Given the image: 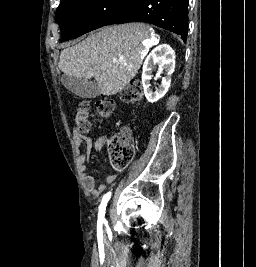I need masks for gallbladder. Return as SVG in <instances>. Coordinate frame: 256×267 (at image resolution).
<instances>
[{
	"instance_id": "1",
	"label": "gallbladder",
	"mask_w": 256,
	"mask_h": 267,
	"mask_svg": "<svg viewBox=\"0 0 256 267\" xmlns=\"http://www.w3.org/2000/svg\"><path fill=\"white\" fill-rule=\"evenodd\" d=\"M60 82L69 92L79 96V98H97L101 94L95 82H88V80H82V78L63 74Z\"/></svg>"
}]
</instances>
